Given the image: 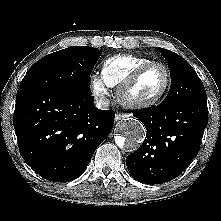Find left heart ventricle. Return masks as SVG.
Returning <instances> with one entry per match:
<instances>
[{"instance_id": "b2bd125f", "label": "left heart ventricle", "mask_w": 221, "mask_h": 221, "mask_svg": "<svg viewBox=\"0 0 221 221\" xmlns=\"http://www.w3.org/2000/svg\"><path fill=\"white\" fill-rule=\"evenodd\" d=\"M165 83V72L162 67L149 69L130 90L129 97L144 100L156 95Z\"/></svg>"}]
</instances>
